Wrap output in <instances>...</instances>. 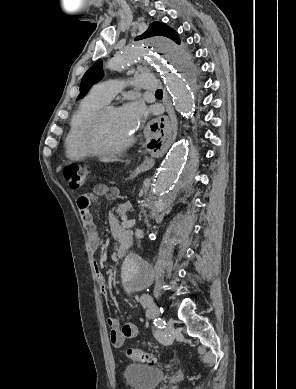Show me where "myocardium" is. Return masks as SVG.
<instances>
[{"mask_svg":"<svg viewBox=\"0 0 296 389\" xmlns=\"http://www.w3.org/2000/svg\"><path fill=\"white\" fill-rule=\"evenodd\" d=\"M113 111H119L118 107L112 105H105L100 108L95 115L92 117L89 125L87 127L84 144L85 148L89 155L92 156H112L117 155L125 150H127L135 141L134 135H132L126 142L123 144L113 147L106 148L100 145L99 143V132L101 124L105 116Z\"/></svg>","mask_w":296,"mask_h":389,"instance_id":"myocardium-1","label":"myocardium"}]
</instances>
